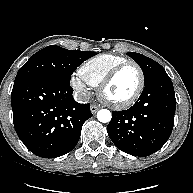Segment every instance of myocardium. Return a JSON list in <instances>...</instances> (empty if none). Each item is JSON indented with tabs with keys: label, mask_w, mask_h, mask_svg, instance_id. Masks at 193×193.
Here are the masks:
<instances>
[{
	"label": "myocardium",
	"mask_w": 193,
	"mask_h": 193,
	"mask_svg": "<svg viewBox=\"0 0 193 193\" xmlns=\"http://www.w3.org/2000/svg\"><path fill=\"white\" fill-rule=\"evenodd\" d=\"M129 66L135 67L139 74V84H138L136 91L128 99L122 102L110 101L105 96V91L107 87L111 84V82L114 80V78L118 75L120 71H122L124 68L129 67ZM144 86H145V75L140 65L134 61H126L124 63L119 64L115 68H113L104 77V79L101 81L100 85L98 86V95H99L100 100L107 106L113 109H116V110H122V109L129 108L138 100V98L141 96L143 92Z\"/></svg>",
	"instance_id": "1"
}]
</instances>
